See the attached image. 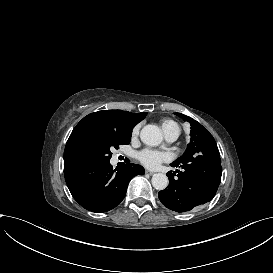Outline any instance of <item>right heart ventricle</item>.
<instances>
[{"mask_svg":"<svg viewBox=\"0 0 273 273\" xmlns=\"http://www.w3.org/2000/svg\"><path fill=\"white\" fill-rule=\"evenodd\" d=\"M160 127L165 133H174L178 137L180 135V127L177 122L171 119H163L160 121Z\"/></svg>","mask_w":273,"mask_h":273,"instance_id":"e07e8e85","label":"right heart ventricle"}]
</instances>
